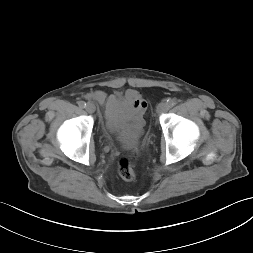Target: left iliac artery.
I'll use <instances>...</instances> for the list:
<instances>
[{
	"label": "left iliac artery",
	"instance_id": "left-iliac-artery-1",
	"mask_svg": "<svg viewBox=\"0 0 253 253\" xmlns=\"http://www.w3.org/2000/svg\"><path fill=\"white\" fill-rule=\"evenodd\" d=\"M167 104L169 105V107H173L176 104V100L175 99L167 100Z\"/></svg>",
	"mask_w": 253,
	"mask_h": 253
}]
</instances>
